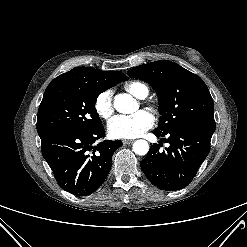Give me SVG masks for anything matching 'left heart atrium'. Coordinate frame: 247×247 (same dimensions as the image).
<instances>
[{"label":"left heart atrium","mask_w":247,"mask_h":247,"mask_svg":"<svg viewBox=\"0 0 247 247\" xmlns=\"http://www.w3.org/2000/svg\"><path fill=\"white\" fill-rule=\"evenodd\" d=\"M153 123L152 115L140 110L132 115L115 116L108 124V132L112 138L131 139L142 135Z\"/></svg>","instance_id":"obj_1"}]
</instances>
